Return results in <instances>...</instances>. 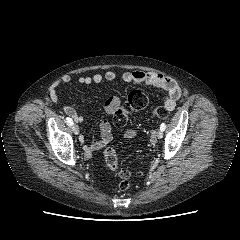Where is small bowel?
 <instances>
[{
  "label": "small bowel",
  "mask_w": 240,
  "mask_h": 240,
  "mask_svg": "<svg viewBox=\"0 0 240 240\" xmlns=\"http://www.w3.org/2000/svg\"><path fill=\"white\" fill-rule=\"evenodd\" d=\"M118 78L127 84H145L165 91L167 96L164 100V105L168 111L175 109L177 101L181 96L180 86L173 79L155 72L141 70L124 72L120 76H118L114 71H106L103 74L96 73L92 76H80L78 78V82L82 85H90L93 83L99 84L103 81L113 82ZM71 80L72 79L69 75H64L51 85L50 97L53 102H58L57 88L60 85L69 84ZM120 107L121 99L118 96H110L104 102V110L109 115H113ZM63 111L67 116H69L68 118H73L77 123H82L84 121L85 116L77 113V111L71 106H63ZM100 130L101 137L97 142L88 144L85 142L83 136L80 137V141L83 144V150L86 155H91L92 153L101 150L111 141L112 127L109 121L103 120L100 124ZM136 135L137 132L133 129H129L125 132V137L129 139L135 138Z\"/></svg>",
  "instance_id": "c3829d8e"
}]
</instances>
